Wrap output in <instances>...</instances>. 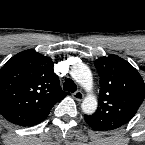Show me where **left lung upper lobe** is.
I'll return each mask as SVG.
<instances>
[{
    "label": "left lung upper lobe",
    "instance_id": "5c2ea615",
    "mask_svg": "<svg viewBox=\"0 0 145 145\" xmlns=\"http://www.w3.org/2000/svg\"><path fill=\"white\" fill-rule=\"evenodd\" d=\"M94 64L100 76L99 107L84 118L94 130H114L136 114L145 97V84L139 72L118 56L101 57Z\"/></svg>",
    "mask_w": 145,
    "mask_h": 145
}]
</instances>
